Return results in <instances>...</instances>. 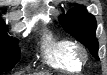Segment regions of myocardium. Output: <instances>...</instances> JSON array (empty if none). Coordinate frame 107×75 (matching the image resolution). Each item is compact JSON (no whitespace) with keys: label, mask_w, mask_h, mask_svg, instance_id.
Returning <instances> with one entry per match:
<instances>
[{"label":"myocardium","mask_w":107,"mask_h":75,"mask_svg":"<svg viewBox=\"0 0 107 75\" xmlns=\"http://www.w3.org/2000/svg\"><path fill=\"white\" fill-rule=\"evenodd\" d=\"M76 56L80 62L85 61L87 59V52L81 46H76Z\"/></svg>","instance_id":"1"}]
</instances>
